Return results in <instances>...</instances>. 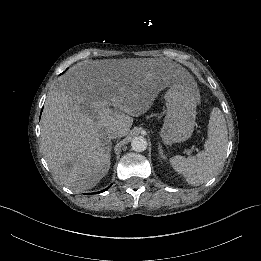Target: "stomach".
Wrapping results in <instances>:
<instances>
[{"label": "stomach", "mask_w": 261, "mask_h": 261, "mask_svg": "<svg viewBox=\"0 0 261 261\" xmlns=\"http://www.w3.org/2000/svg\"><path fill=\"white\" fill-rule=\"evenodd\" d=\"M199 91L193 85H173L166 94L167 113L158 136L165 147L189 140L194 133Z\"/></svg>", "instance_id": "1"}]
</instances>
